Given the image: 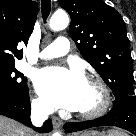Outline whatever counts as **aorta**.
Here are the masks:
<instances>
[{"mask_svg":"<svg viewBox=\"0 0 136 136\" xmlns=\"http://www.w3.org/2000/svg\"><path fill=\"white\" fill-rule=\"evenodd\" d=\"M69 24V17L64 11L55 12L49 22V26L54 31L65 29ZM53 136H61L59 132H55Z\"/></svg>","mask_w":136,"mask_h":136,"instance_id":"1","label":"aorta"}]
</instances>
